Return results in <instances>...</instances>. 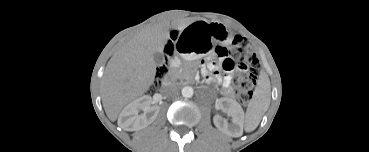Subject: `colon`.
<instances>
[{"instance_id":"obj_1","label":"colon","mask_w":369,"mask_h":152,"mask_svg":"<svg viewBox=\"0 0 369 152\" xmlns=\"http://www.w3.org/2000/svg\"><path fill=\"white\" fill-rule=\"evenodd\" d=\"M235 47L234 55L228 52L220 53L221 68L228 73H235L237 84L243 90H249L255 82L254 70L258 68L259 61L244 40L237 39Z\"/></svg>"}]
</instances>
